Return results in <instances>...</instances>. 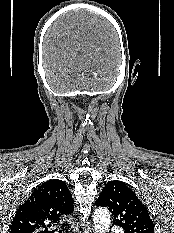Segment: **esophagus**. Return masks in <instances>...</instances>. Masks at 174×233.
Instances as JSON below:
<instances>
[{"mask_svg":"<svg viewBox=\"0 0 174 233\" xmlns=\"http://www.w3.org/2000/svg\"><path fill=\"white\" fill-rule=\"evenodd\" d=\"M80 233H94V230L91 226H85V227H82V230Z\"/></svg>","mask_w":174,"mask_h":233,"instance_id":"34e87169","label":"esophagus"}]
</instances>
